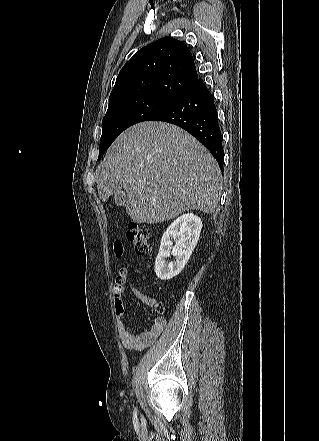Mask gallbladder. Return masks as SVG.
Wrapping results in <instances>:
<instances>
[{"label": "gallbladder", "mask_w": 319, "mask_h": 441, "mask_svg": "<svg viewBox=\"0 0 319 441\" xmlns=\"http://www.w3.org/2000/svg\"><path fill=\"white\" fill-rule=\"evenodd\" d=\"M114 200H115V203H116L118 206H125V203H126V196H125L124 191L121 190V191H119L118 193H116L115 196H114Z\"/></svg>", "instance_id": "gallbladder-1"}]
</instances>
